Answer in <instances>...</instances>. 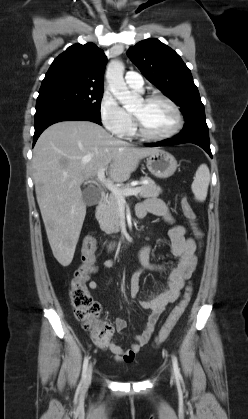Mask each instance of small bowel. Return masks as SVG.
<instances>
[{"instance_id": "c3829d8e", "label": "small bowel", "mask_w": 248, "mask_h": 419, "mask_svg": "<svg viewBox=\"0 0 248 419\" xmlns=\"http://www.w3.org/2000/svg\"><path fill=\"white\" fill-rule=\"evenodd\" d=\"M142 210V217L147 214H153L162 217L167 223L171 225L168 235L170 239V251L173 257L176 258V263L172 267H167L162 264L151 261L152 248L149 245L143 246L138 252V260L140 268H138L131 275L129 283V295L131 298H139L140 306L150 311L147 317L144 329L141 333L135 336V342L128 348L123 349L117 345L113 340H110L105 345H98L101 350L110 351L115 360L118 362L132 363L136 354L149 341L154 332L155 325L165 309V307L175 302L181 290L185 286L186 280L191 278L197 265L196 256V242L194 239L187 237L186 228L182 225L175 224V220L171 215L167 205L160 199L149 198L144 203L139 205ZM114 266V260L106 259L100 265H93L90 273L94 274L99 269H109ZM167 272L168 281L165 288L157 293L150 294L145 297H140V282L145 272ZM91 290L98 287L95 280L88 283ZM117 331H122L126 328L127 322L124 319L117 318L115 320Z\"/></svg>"}]
</instances>
